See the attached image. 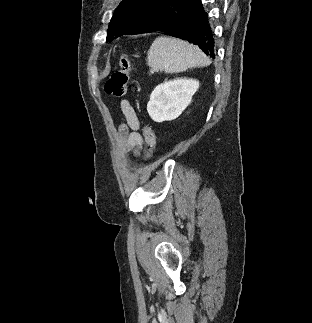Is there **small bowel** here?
<instances>
[{"label":"small bowel","mask_w":312,"mask_h":323,"mask_svg":"<svg viewBox=\"0 0 312 323\" xmlns=\"http://www.w3.org/2000/svg\"><path fill=\"white\" fill-rule=\"evenodd\" d=\"M121 123L119 125V149L121 152L141 150L143 140L139 133L140 123L136 112L127 99L120 101Z\"/></svg>","instance_id":"1"}]
</instances>
